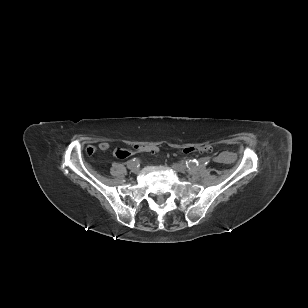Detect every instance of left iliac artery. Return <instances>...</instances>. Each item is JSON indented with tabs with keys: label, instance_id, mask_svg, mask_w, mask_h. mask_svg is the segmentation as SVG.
<instances>
[{
	"label": "left iliac artery",
	"instance_id": "1",
	"mask_svg": "<svg viewBox=\"0 0 308 308\" xmlns=\"http://www.w3.org/2000/svg\"><path fill=\"white\" fill-rule=\"evenodd\" d=\"M187 167H193L198 165H203L204 167H209L212 164V159L207 158L206 156H201L200 158H197L196 160H189V162H186Z\"/></svg>",
	"mask_w": 308,
	"mask_h": 308
}]
</instances>
